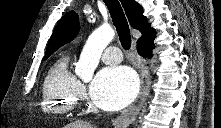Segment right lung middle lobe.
Masks as SVG:
<instances>
[{
    "instance_id": "1",
    "label": "right lung middle lobe",
    "mask_w": 221,
    "mask_h": 128,
    "mask_svg": "<svg viewBox=\"0 0 221 128\" xmlns=\"http://www.w3.org/2000/svg\"><path fill=\"white\" fill-rule=\"evenodd\" d=\"M50 55H45L44 59L48 58Z\"/></svg>"
}]
</instances>
